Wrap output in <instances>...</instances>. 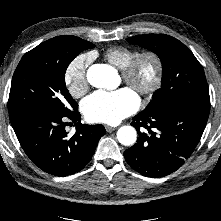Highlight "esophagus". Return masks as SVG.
Here are the masks:
<instances>
[{
  "instance_id": "obj_1",
  "label": "esophagus",
  "mask_w": 221,
  "mask_h": 221,
  "mask_svg": "<svg viewBox=\"0 0 221 221\" xmlns=\"http://www.w3.org/2000/svg\"><path fill=\"white\" fill-rule=\"evenodd\" d=\"M105 129H106L107 132L110 133V132H113L116 128L106 125V126H105Z\"/></svg>"
}]
</instances>
